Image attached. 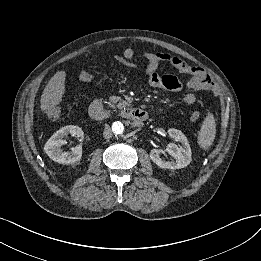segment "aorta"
Masks as SVG:
<instances>
[{
    "label": "aorta",
    "instance_id": "aorta-1",
    "mask_svg": "<svg viewBox=\"0 0 261 261\" xmlns=\"http://www.w3.org/2000/svg\"><path fill=\"white\" fill-rule=\"evenodd\" d=\"M112 131L116 135H120L124 132V125L120 121H116L112 124Z\"/></svg>",
    "mask_w": 261,
    "mask_h": 261
}]
</instances>
